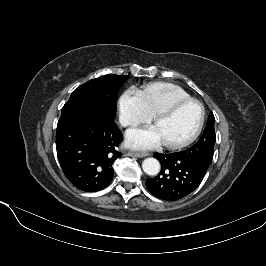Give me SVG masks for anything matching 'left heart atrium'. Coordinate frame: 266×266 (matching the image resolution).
Listing matches in <instances>:
<instances>
[{"mask_svg":"<svg viewBox=\"0 0 266 266\" xmlns=\"http://www.w3.org/2000/svg\"><path fill=\"white\" fill-rule=\"evenodd\" d=\"M127 143L134 148L148 149L156 147L164 141L156 126H151L129 130L127 132Z\"/></svg>","mask_w":266,"mask_h":266,"instance_id":"left-heart-atrium-1","label":"left heart atrium"}]
</instances>
